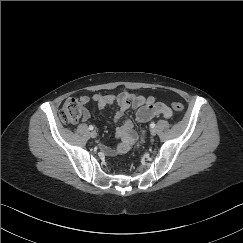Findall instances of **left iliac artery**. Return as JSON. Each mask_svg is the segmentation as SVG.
Returning <instances> with one entry per match:
<instances>
[{"instance_id": "left-iliac-artery-1", "label": "left iliac artery", "mask_w": 243, "mask_h": 243, "mask_svg": "<svg viewBox=\"0 0 243 243\" xmlns=\"http://www.w3.org/2000/svg\"><path fill=\"white\" fill-rule=\"evenodd\" d=\"M150 127H151V128H154V127H155V123L152 122V123L150 124Z\"/></svg>"}]
</instances>
